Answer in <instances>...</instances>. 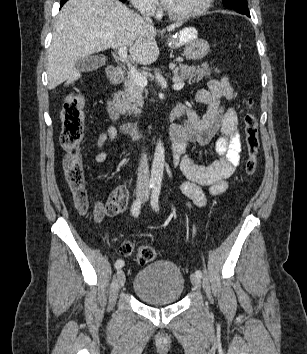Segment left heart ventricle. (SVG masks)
I'll use <instances>...</instances> for the list:
<instances>
[{
  "label": "left heart ventricle",
  "mask_w": 307,
  "mask_h": 354,
  "mask_svg": "<svg viewBox=\"0 0 307 354\" xmlns=\"http://www.w3.org/2000/svg\"><path fill=\"white\" fill-rule=\"evenodd\" d=\"M203 0H171L167 9L174 14H184L196 9Z\"/></svg>",
  "instance_id": "obj_1"
}]
</instances>
